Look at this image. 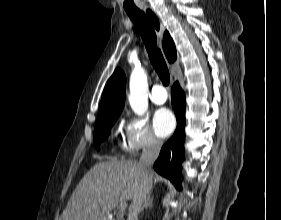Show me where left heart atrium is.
<instances>
[{
    "mask_svg": "<svg viewBox=\"0 0 281 220\" xmlns=\"http://www.w3.org/2000/svg\"><path fill=\"white\" fill-rule=\"evenodd\" d=\"M176 122L173 114L166 108L158 109L153 117V127L159 137H167L170 135Z\"/></svg>",
    "mask_w": 281,
    "mask_h": 220,
    "instance_id": "39dd6f15",
    "label": "left heart atrium"
}]
</instances>
